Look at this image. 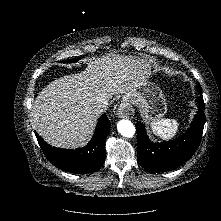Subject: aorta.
<instances>
[{
    "mask_svg": "<svg viewBox=\"0 0 221 221\" xmlns=\"http://www.w3.org/2000/svg\"><path fill=\"white\" fill-rule=\"evenodd\" d=\"M118 132L124 137H133L135 134V126L129 120L123 119L120 120L117 124Z\"/></svg>",
    "mask_w": 221,
    "mask_h": 221,
    "instance_id": "1",
    "label": "aorta"
}]
</instances>
